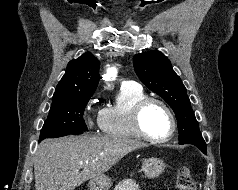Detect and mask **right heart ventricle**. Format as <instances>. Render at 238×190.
I'll return each mask as SVG.
<instances>
[{
    "instance_id": "obj_1",
    "label": "right heart ventricle",
    "mask_w": 238,
    "mask_h": 190,
    "mask_svg": "<svg viewBox=\"0 0 238 190\" xmlns=\"http://www.w3.org/2000/svg\"><path fill=\"white\" fill-rule=\"evenodd\" d=\"M146 97L142 88H121L116 104L101 110V131L110 137L139 139L131 123L132 109L137 102Z\"/></svg>"
}]
</instances>
